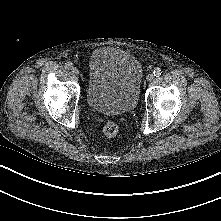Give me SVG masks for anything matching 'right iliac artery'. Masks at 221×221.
Segmentation results:
<instances>
[{
    "label": "right iliac artery",
    "mask_w": 221,
    "mask_h": 221,
    "mask_svg": "<svg viewBox=\"0 0 221 221\" xmlns=\"http://www.w3.org/2000/svg\"><path fill=\"white\" fill-rule=\"evenodd\" d=\"M73 68V64L71 62H66L65 63V69L71 70Z\"/></svg>",
    "instance_id": "1"
}]
</instances>
